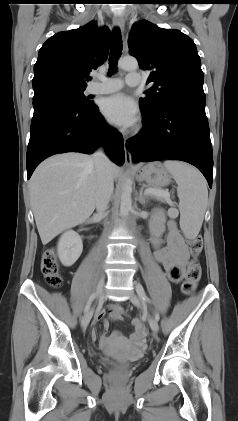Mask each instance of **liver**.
<instances>
[{
    "mask_svg": "<svg viewBox=\"0 0 238 421\" xmlns=\"http://www.w3.org/2000/svg\"><path fill=\"white\" fill-rule=\"evenodd\" d=\"M113 178L119 167L110 162ZM30 198L43 245L93 213L96 206L97 174L92 157L66 153L43 161L30 182Z\"/></svg>",
    "mask_w": 238,
    "mask_h": 421,
    "instance_id": "obj_1",
    "label": "liver"
}]
</instances>
